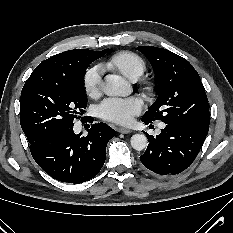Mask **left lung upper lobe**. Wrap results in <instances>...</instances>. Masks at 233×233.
Masks as SVG:
<instances>
[{
	"instance_id": "5c2ea615",
	"label": "left lung upper lobe",
	"mask_w": 233,
	"mask_h": 233,
	"mask_svg": "<svg viewBox=\"0 0 233 233\" xmlns=\"http://www.w3.org/2000/svg\"><path fill=\"white\" fill-rule=\"evenodd\" d=\"M158 80V97L142 121L165 124L187 123L209 129L210 113L204 86L197 71L183 57L164 48L140 46Z\"/></svg>"
}]
</instances>
